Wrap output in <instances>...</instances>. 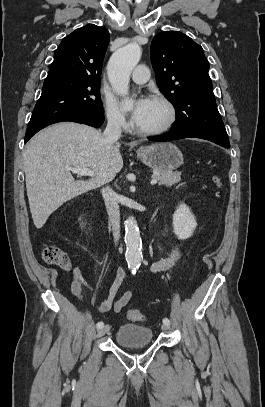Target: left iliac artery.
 <instances>
[{
	"mask_svg": "<svg viewBox=\"0 0 265 407\" xmlns=\"http://www.w3.org/2000/svg\"><path fill=\"white\" fill-rule=\"evenodd\" d=\"M163 323L169 325V324H170V320H169L168 318H164V319H163Z\"/></svg>",
	"mask_w": 265,
	"mask_h": 407,
	"instance_id": "1",
	"label": "left iliac artery"
}]
</instances>
